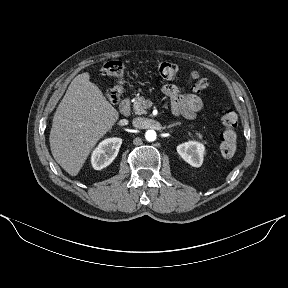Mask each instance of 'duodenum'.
I'll list each match as a JSON object with an SVG mask.
<instances>
[{"instance_id": "obj_1", "label": "duodenum", "mask_w": 288, "mask_h": 288, "mask_svg": "<svg viewBox=\"0 0 288 288\" xmlns=\"http://www.w3.org/2000/svg\"><path fill=\"white\" fill-rule=\"evenodd\" d=\"M119 111L122 115L127 116L130 113V102L128 99L122 100L119 105Z\"/></svg>"}]
</instances>
